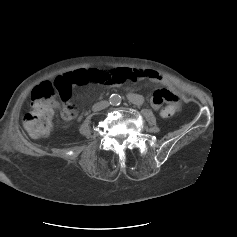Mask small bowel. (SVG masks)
Returning a JSON list of instances; mask_svg holds the SVG:
<instances>
[{
	"mask_svg": "<svg viewBox=\"0 0 237 237\" xmlns=\"http://www.w3.org/2000/svg\"><path fill=\"white\" fill-rule=\"evenodd\" d=\"M114 72L116 73L117 77L114 80H109L102 83L103 85L113 87L120 85L126 80L137 81L146 78L164 86V88L156 90L151 98V105L155 110H159L164 103L173 105L177 109L179 108V99L175 86L168 78L162 76L158 72L153 70L128 68H119ZM129 99L135 104L142 102V96L137 93H130ZM74 116L75 112L73 114H69L65 108V105L62 107V117L65 120H71Z\"/></svg>",
	"mask_w": 237,
	"mask_h": 237,
	"instance_id": "obj_1",
	"label": "small bowel"
}]
</instances>
